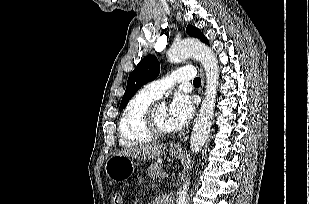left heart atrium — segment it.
Returning a JSON list of instances; mask_svg holds the SVG:
<instances>
[{"label":"left heart atrium","mask_w":309,"mask_h":204,"mask_svg":"<svg viewBox=\"0 0 309 204\" xmlns=\"http://www.w3.org/2000/svg\"><path fill=\"white\" fill-rule=\"evenodd\" d=\"M194 105L191 98L185 94H177L169 105V118L173 130L184 128L191 120Z\"/></svg>","instance_id":"39dd6f15"}]
</instances>
